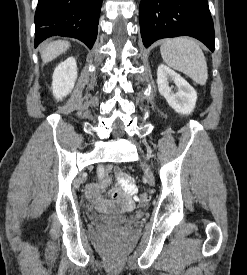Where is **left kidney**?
Listing matches in <instances>:
<instances>
[{
    "label": "left kidney",
    "instance_id": "left-kidney-1",
    "mask_svg": "<svg viewBox=\"0 0 247 275\" xmlns=\"http://www.w3.org/2000/svg\"><path fill=\"white\" fill-rule=\"evenodd\" d=\"M172 82L177 87L176 92L170 86ZM157 84L159 93L177 113L190 114L194 110L197 100L196 91L183 77L164 64L158 67Z\"/></svg>",
    "mask_w": 247,
    "mask_h": 275
}]
</instances>
